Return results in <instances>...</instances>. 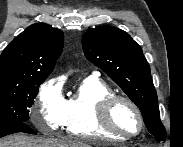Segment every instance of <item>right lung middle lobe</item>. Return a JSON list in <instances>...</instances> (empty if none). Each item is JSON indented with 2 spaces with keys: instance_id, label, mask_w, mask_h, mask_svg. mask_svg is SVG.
<instances>
[{
  "instance_id": "right-lung-middle-lobe-1",
  "label": "right lung middle lobe",
  "mask_w": 183,
  "mask_h": 147,
  "mask_svg": "<svg viewBox=\"0 0 183 147\" xmlns=\"http://www.w3.org/2000/svg\"><path fill=\"white\" fill-rule=\"evenodd\" d=\"M44 81L34 79L22 84H0V130L29 120V108Z\"/></svg>"
}]
</instances>
